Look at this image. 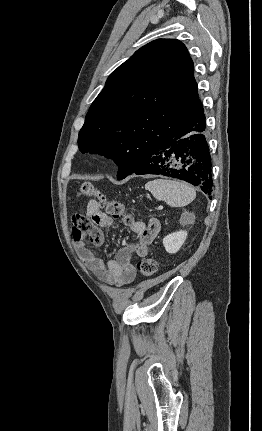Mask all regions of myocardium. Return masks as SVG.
<instances>
[{"mask_svg":"<svg viewBox=\"0 0 262 431\" xmlns=\"http://www.w3.org/2000/svg\"><path fill=\"white\" fill-rule=\"evenodd\" d=\"M92 156H93L94 158H98V157H99V154H98V153H93V154H92Z\"/></svg>","mask_w":262,"mask_h":431,"instance_id":"myocardium-1","label":"myocardium"}]
</instances>
